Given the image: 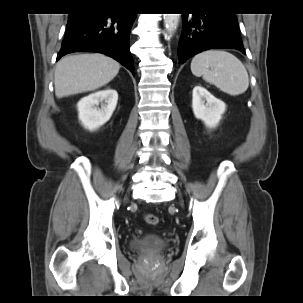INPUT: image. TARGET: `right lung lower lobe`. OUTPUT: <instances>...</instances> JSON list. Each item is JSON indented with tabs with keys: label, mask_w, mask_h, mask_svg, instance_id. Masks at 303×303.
Segmentation results:
<instances>
[{
	"label": "right lung lower lobe",
	"mask_w": 303,
	"mask_h": 303,
	"mask_svg": "<svg viewBox=\"0 0 303 303\" xmlns=\"http://www.w3.org/2000/svg\"><path fill=\"white\" fill-rule=\"evenodd\" d=\"M135 18V13L117 14L96 9L71 13L57 60L73 52H99L114 58L134 75L129 38Z\"/></svg>",
	"instance_id": "obj_1"
}]
</instances>
